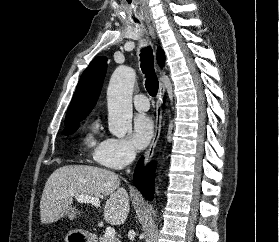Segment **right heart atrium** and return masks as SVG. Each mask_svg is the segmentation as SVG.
<instances>
[{"mask_svg": "<svg viewBox=\"0 0 279 242\" xmlns=\"http://www.w3.org/2000/svg\"><path fill=\"white\" fill-rule=\"evenodd\" d=\"M136 150L128 139L109 137L100 143L94 151V160L109 169H121L131 164Z\"/></svg>", "mask_w": 279, "mask_h": 242, "instance_id": "obj_1", "label": "right heart atrium"}]
</instances>
